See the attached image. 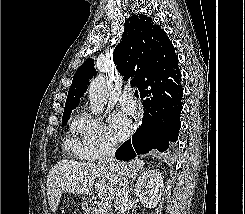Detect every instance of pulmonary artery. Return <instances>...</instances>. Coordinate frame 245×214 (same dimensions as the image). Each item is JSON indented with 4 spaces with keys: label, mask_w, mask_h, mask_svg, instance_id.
I'll list each match as a JSON object with an SVG mask.
<instances>
[{
    "label": "pulmonary artery",
    "mask_w": 245,
    "mask_h": 214,
    "mask_svg": "<svg viewBox=\"0 0 245 214\" xmlns=\"http://www.w3.org/2000/svg\"><path fill=\"white\" fill-rule=\"evenodd\" d=\"M119 103L121 107L128 113L133 114L137 110L136 103L129 90H126L121 94V96L119 97Z\"/></svg>",
    "instance_id": "1"
}]
</instances>
